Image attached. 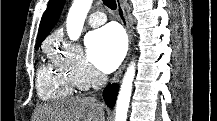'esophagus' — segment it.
Segmentation results:
<instances>
[{
	"mask_svg": "<svg viewBox=\"0 0 217 121\" xmlns=\"http://www.w3.org/2000/svg\"><path fill=\"white\" fill-rule=\"evenodd\" d=\"M116 4H117L118 18H119L121 24L123 25V27L125 28L127 35H128L129 49H128V53H127V57H126L125 61L123 62V64L120 66V68L114 74V76L112 78V83H116L120 79V77L122 76V73L126 67V62H127L128 56L130 54L131 40H132L131 30H130V26H129V23L127 20V16H126V13L124 10L122 0H116Z\"/></svg>",
	"mask_w": 217,
	"mask_h": 121,
	"instance_id": "34e87169",
	"label": "esophagus"
}]
</instances>
